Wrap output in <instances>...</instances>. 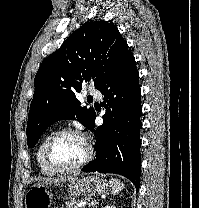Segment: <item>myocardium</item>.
Segmentation results:
<instances>
[{"instance_id":"myocardium-1","label":"myocardium","mask_w":199,"mask_h":208,"mask_svg":"<svg viewBox=\"0 0 199 208\" xmlns=\"http://www.w3.org/2000/svg\"><path fill=\"white\" fill-rule=\"evenodd\" d=\"M65 135H76L78 137L81 138V140L83 141L85 147H86V154L84 156V158L77 164L71 166V167H59L57 166L53 159H52V147L55 144V142L61 138L62 136ZM93 146L88 138V136L81 131L80 129L77 128H73V127H68V128H63L60 129L58 131H56L47 141L45 149H44V158H45V162L48 165V167L56 172V173H60V174H68V173H72V172H76L78 170H80L81 168H83L93 157Z\"/></svg>"}]
</instances>
